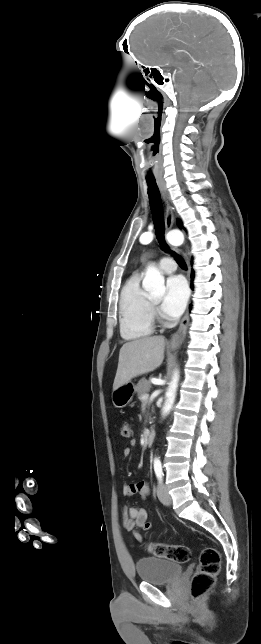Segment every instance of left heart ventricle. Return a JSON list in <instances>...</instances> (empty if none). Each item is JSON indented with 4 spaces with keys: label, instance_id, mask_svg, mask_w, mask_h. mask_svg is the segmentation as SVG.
Masks as SVG:
<instances>
[{
    "label": "left heart ventricle",
    "instance_id": "left-heart-ventricle-1",
    "mask_svg": "<svg viewBox=\"0 0 261 644\" xmlns=\"http://www.w3.org/2000/svg\"><path fill=\"white\" fill-rule=\"evenodd\" d=\"M154 301H155V302H159V301H160V298H156Z\"/></svg>",
    "mask_w": 261,
    "mask_h": 644
}]
</instances>
